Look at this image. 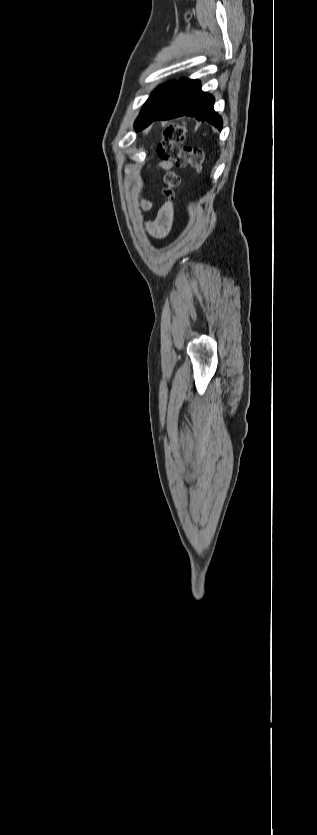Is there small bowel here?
<instances>
[{
    "label": "small bowel",
    "instance_id": "obj_1",
    "mask_svg": "<svg viewBox=\"0 0 317 835\" xmlns=\"http://www.w3.org/2000/svg\"><path fill=\"white\" fill-rule=\"evenodd\" d=\"M172 167V162H161L159 168L162 170H169ZM141 206L144 210H150L152 203L149 200H143ZM174 215L170 207L165 206L161 208L157 217L150 226V232L155 238L166 237L172 229Z\"/></svg>",
    "mask_w": 317,
    "mask_h": 835
}]
</instances>
